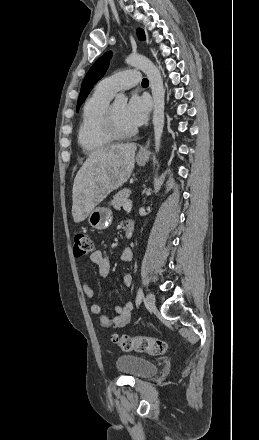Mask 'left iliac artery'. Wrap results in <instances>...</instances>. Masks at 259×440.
<instances>
[{
  "label": "left iliac artery",
  "mask_w": 259,
  "mask_h": 440,
  "mask_svg": "<svg viewBox=\"0 0 259 440\" xmlns=\"http://www.w3.org/2000/svg\"><path fill=\"white\" fill-rule=\"evenodd\" d=\"M142 298H143V292L141 289H139L138 293H137V298H136V305L137 306L141 303Z\"/></svg>",
  "instance_id": "left-iliac-artery-1"
}]
</instances>
